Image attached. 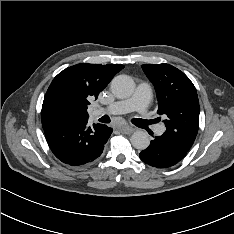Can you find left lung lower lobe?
I'll use <instances>...</instances> for the list:
<instances>
[{
    "mask_svg": "<svg viewBox=\"0 0 234 234\" xmlns=\"http://www.w3.org/2000/svg\"><path fill=\"white\" fill-rule=\"evenodd\" d=\"M187 152L188 150L164 133L156 136L150 145L141 151L139 157L150 166L167 168L177 164Z\"/></svg>",
    "mask_w": 234,
    "mask_h": 234,
    "instance_id": "left-lung-lower-lobe-1",
    "label": "left lung lower lobe"
}]
</instances>
